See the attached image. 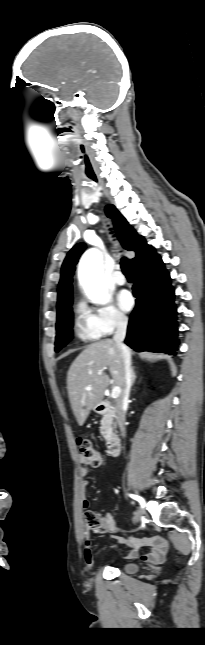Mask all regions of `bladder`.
Returning <instances> with one entry per match:
<instances>
[{"instance_id":"1","label":"bladder","mask_w":205,"mask_h":645,"mask_svg":"<svg viewBox=\"0 0 205 645\" xmlns=\"http://www.w3.org/2000/svg\"><path fill=\"white\" fill-rule=\"evenodd\" d=\"M121 569L129 574L135 573L139 569V565L134 562H127L121 566Z\"/></svg>"}]
</instances>
